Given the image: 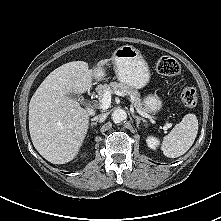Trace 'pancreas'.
Masks as SVG:
<instances>
[{
	"label": "pancreas",
	"mask_w": 221,
	"mask_h": 221,
	"mask_svg": "<svg viewBox=\"0 0 221 221\" xmlns=\"http://www.w3.org/2000/svg\"><path fill=\"white\" fill-rule=\"evenodd\" d=\"M96 91L99 95V98L102 99L106 91H110L111 93L121 92L124 95H128L136 109H139L143 112H149L148 109L144 106L140 93L134 89L123 83L111 82L109 84H100L97 86Z\"/></svg>",
	"instance_id": "pancreas-1"
}]
</instances>
